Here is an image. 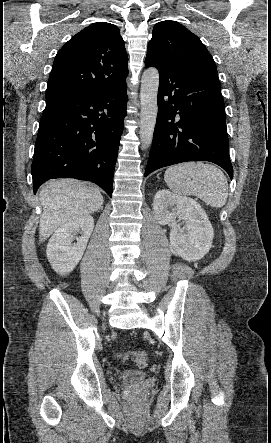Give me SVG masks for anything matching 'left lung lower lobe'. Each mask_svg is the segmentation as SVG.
<instances>
[{"label":"left lung lower lobe","mask_w":271,"mask_h":443,"mask_svg":"<svg viewBox=\"0 0 271 443\" xmlns=\"http://www.w3.org/2000/svg\"><path fill=\"white\" fill-rule=\"evenodd\" d=\"M159 70L158 116L145 170L188 161H210L233 178L225 106L218 75L146 56Z\"/></svg>","instance_id":"left-lung-lower-lobe-1"}]
</instances>
